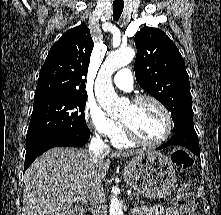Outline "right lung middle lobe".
Segmentation results:
<instances>
[{"instance_id":"obj_1","label":"right lung middle lobe","mask_w":221,"mask_h":215,"mask_svg":"<svg viewBox=\"0 0 221 215\" xmlns=\"http://www.w3.org/2000/svg\"><path fill=\"white\" fill-rule=\"evenodd\" d=\"M86 94L56 95L34 102L27 140L45 134L89 130L84 116Z\"/></svg>"}]
</instances>
